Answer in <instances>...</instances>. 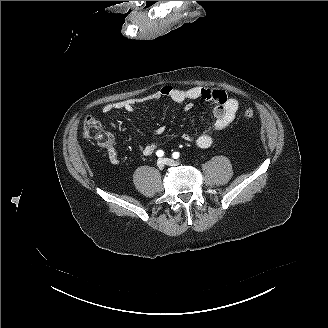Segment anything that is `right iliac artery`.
<instances>
[{
    "label": "right iliac artery",
    "instance_id": "obj_1",
    "mask_svg": "<svg viewBox=\"0 0 328 328\" xmlns=\"http://www.w3.org/2000/svg\"><path fill=\"white\" fill-rule=\"evenodd\" d=\"M156 155H157L158 157H162V156L164 155V152H163L162 150H158V151L156 152Z\"/></svg>",
    "mask_w": 328,
    "mask_h": 328
}]
</instances>
